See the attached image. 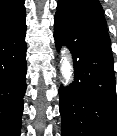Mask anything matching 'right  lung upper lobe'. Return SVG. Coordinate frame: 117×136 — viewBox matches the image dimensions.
Instances as JSON below:
<instances>
[{"label": "right lung upper lobe", "mask_w": 117, "mask_h": 136, "mask_svg": "<svg viewBox=\"0 0 117 136\" xmlns=\"http://www.w3.org/2000/svg\"><path fill=\"white\" fill-rule=\"evenodd\" d=\"M24 0H0V36L25 25Z\"/></svg>", "instance_id": "cb5924a9"}]
</instances>
